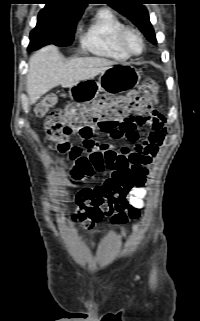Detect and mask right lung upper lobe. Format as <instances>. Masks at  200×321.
<instances>
[{
    "label": "right lung upper lobe",
    "mask_w": 200,
    "mask_h": 321,
    "mask_svg": "<svg viewBox=\"0 0 200 321\" xmlns=\"http://www.w3.org/2000/svg\"><path fill=\"white\" fill-rule=\"evenodd\" d=\"M46 8L55 15H68L83 12L91 0H45Z\"/></svg>",
    "instance_id": "1"
}]
</instances>
